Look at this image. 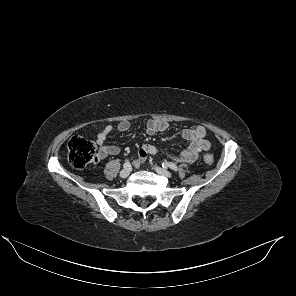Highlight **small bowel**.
<instances>
[{
	"label": "small bowel",
	"mask_w": 296,
	"mask_h": 296,
	"mask_svg": "<svg viewBox=\"0 0 296 296\" xmlns=\"http://www.w3.org/2000/svg\"><path fill=\"white\" fill-rule=\"evenodd\" d=\"M131 127L129 121H121L116 129L119 133H126ZM168 128V123L163 120L148 119L146 122V132L148 135H154L155 133L165 131ZM114 130L112 125H107L97 135V144L99 147V157L101 159L109 156L116 155L120 149L116 145L106 144L108 135ZM181 138L190 142V145L184 149L178 156L169 155V157L177 162L190 163L195 161L202 151H207L211 147V142L207 137V131L203 126H197L194 129H185L180 133ZM157 148L150 143L142 145L139 152L133 158V164L135 167L143 165L149 155H155Z\"/></svg>",
	"instance_id": "obj_1"
}]
</instances>
